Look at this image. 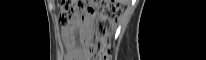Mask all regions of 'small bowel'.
<instances>
[{
  "label": "small bowel",
  "instance_id": "obj_1",
  "mask_svg": "<svg viewBox=\"0 0 206 60\" xmlns=\"http://www.w3.org/2000/svg\"><path fill=\"white\" fill-rule=\"evenodd\" d=\"M87 24V19H83L78 21L75 26L72 27H66L63 29V39L65 42V46H66V59L67 60H80L82 59V54L80 52V50H78L75 46V42H74V33H75V29L78 26H82Z\"/></svg>",
  "mask_w": 206,
  "mask_h": 60
}]
</instances>
